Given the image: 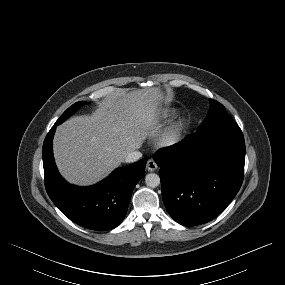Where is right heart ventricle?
<instances>
[{
	"label": "right heart ventricle",
	"mask_w": 285,
	"mask_h": 285,
	"mask_svg": "<svg viewBox=\"0 0 285 285\" xmlns=\"http://www.w3.org/2000/svg\"><path fill=\"white\" fill-rule=\"evenodd\" d=\"M174 114L175 110L173 109H163L153 119L152 124L155 127H160L162 124L167 122Z\"/></svg>",
	"instance_id": "obj_1"
}]
</instances>
